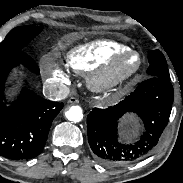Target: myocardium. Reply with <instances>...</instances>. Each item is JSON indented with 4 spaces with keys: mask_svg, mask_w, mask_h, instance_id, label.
<instances>
[{
    "mask_svg": "<svg viewBox=\"0 0 183 183\" xmlns=\"http://www.w3.org/2000/svg\"><path fill=\"white\" fill-rule=\"evenodd\" d=\"M128 55H135L138 63L130 72L121 74L118 71L119 63ZM142 66L143 58L139 52L132 49L119 51L112 55L105 64L90 73L87 86L94 93H110L131 82L140 73Z\"/></svg>",
    "mask_w": 183,
    "mask_h": 183,
    "instance_id": "f54148a6",
    "label": "myocardium"
}]
</instances>
